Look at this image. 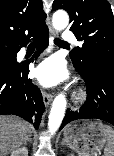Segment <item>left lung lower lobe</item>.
<instances>
[{"mask_svg":"<svg viewBox=\"0 0 114 156\" xmlns=\"http://www.w3.org/2000/svg\"><path fill=\"white\" fill-rule=\"evenodd\" d=\"M85 80L87 101L77 112L67 111L60 130L77 119H101L114 125V68L92 63L85 69L74 64Z\"/></svg>","mask_w":114,"mask_h":156,"instance_id":"0a47b994","label":"left lung lower lobe"}]
</instances>
